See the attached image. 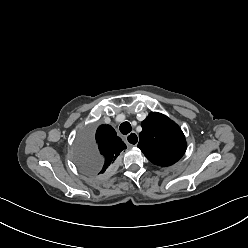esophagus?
Segmentation results:
<instances>
[{"instance_id":"esophagus-1","label":"esophagus","mask_w":248,"mask_h":248,"mask_svg":"<svg viewBox=\"0 0 248 248\" xmlns=\"http://www.w3.org/2000/svg\"><path fill=\"white\" fill-rule=\"evenodd\" d=\"M138 141H139V137L135 132H131L126 136V143L129 146H136Z\"/></svg>"}]
</instances>
